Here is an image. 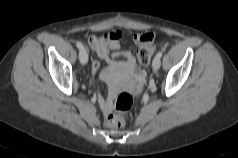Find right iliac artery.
<instances>
[{
    "label": "right iliac artery",
    "instance_id": "obj_1",
    "mask_svg": "<svg viewBox=\"0 0 238 158\" xmlns=\"http://www.w3.org/2000/svg\"><path fill=\"white\" fill-rule=\"evenodd\" d=\"M76 46H77L78 49H84L83 44L80 43V42H77V43H76Z\"/></svg>",
    "mask_w": 238,
    "mask_h": 158
}]
</instances>
